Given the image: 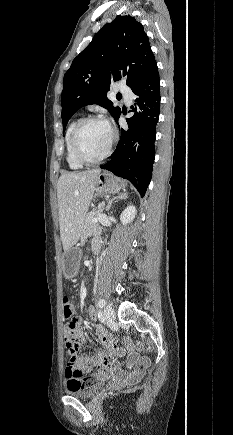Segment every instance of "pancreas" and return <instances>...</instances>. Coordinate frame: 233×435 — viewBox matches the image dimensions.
<instances>
[{"label":"pancreas","instance_id":"obj_1","mask_svg":"<svg viewBox=\"0 0 233 435\" xmlns=\"http://www.w3.org/2000/svg\"><path fill=\"white\" fill-rule=\"evenodd\" d=\"M102 210L103 207H100L98 210L90 212L85 216L81 233V238L83 240H86L93 235L101 233L99 223H91L90 221L95 218Z\"/></svg>","mask_w":233,"mask_h":435}]
</instances>
